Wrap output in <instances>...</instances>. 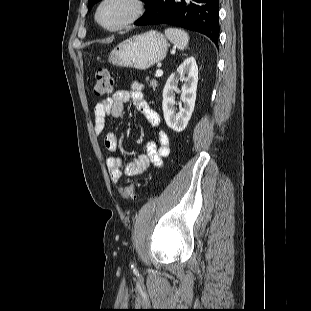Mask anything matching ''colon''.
Here are the masks:
<instances>
[{"label": "colon", "instance_id": "1", "mask_svg": "<svg viewBox=\"0 0 311 311\" xmlns=\"http://www.w3.org/2000/svg\"><path fill=\"white\" fill-rule=\"evenodd\" d=\"M113 79L110 72L105 68H100L95 74L94 92L98 96H104L112 92ZM136 182H130L126 186L120 189V195L125 200H132L136 195Z\"/></svg>", "mask_w": 311, "mask_h": 311}]
</instances>
